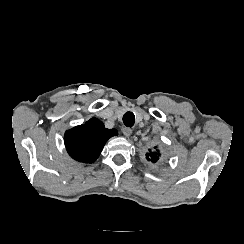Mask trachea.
Returning a JSON list of instances; mask_svg holds the SVG:
<instances>
[{
  "label": "trachea",
  "mask_w": 244,
  "mask_h": 244,
  "mask_svg": "<svg viewBox=\"0 0 244 244\" xmlns=\"http://www.w3.org/2000/svg\"><path fill=\"white\" fill-rule=\"evenodd\" d=\"M123 122L125 126L132 127L135 122V116L132 112H126L123 116Z\"/></svg>",
  "instance_id": "obj_1"
}]
</instances>
